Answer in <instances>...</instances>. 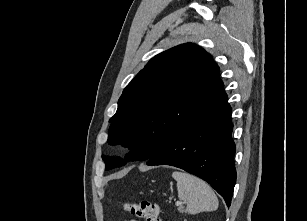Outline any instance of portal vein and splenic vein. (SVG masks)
Here are the masks:
<instances>
[{"instance_id": "obj_1", "label": "portal vein and splenic vein", "mask_w": 307, "mask_h": 221, "mask_svg": "<svg viewBox=\"0 0 307 221\" xmlns=\"http://www.w3.org/2000/svg\"><path fill=\"white\" fill-rule=\"evenodd\" d=\"M175 204H176V206H180L182 204V202L177 201Z\"/></svg>"}]
</instances>
